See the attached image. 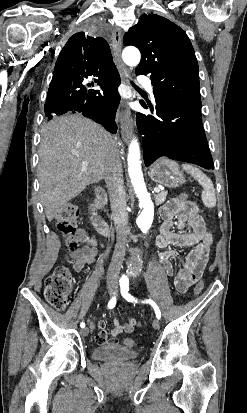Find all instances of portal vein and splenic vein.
Instances as JSON below:
<instances>
[{
    "label": "portal vein and splenic vein",
    "mask_w": 247,
    "mask_h": 413,
    "mask_svg": "<svg viewBox=\"0 0 247 413\" xmlns=\"http://www.w3.org/2000/svg\"><path fill=\"white\" fill-rule=\"evenodd\" d=\"M155 192H159L160 188H154Z\"/></svg>",
    "instance_id": "18ae733b"
}]
</instances>
